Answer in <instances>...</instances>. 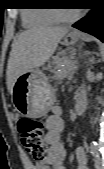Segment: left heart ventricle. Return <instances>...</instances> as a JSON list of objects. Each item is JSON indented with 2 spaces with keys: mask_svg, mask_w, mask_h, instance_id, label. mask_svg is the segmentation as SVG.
<instances>
[{
  "mask_svg": "<svg viewBox=\"0 0 104 169\" xmlns=\"http://www.w3.org/2000/svg\"><path fill=\"white\" fill-rule=\"evenodd\" d=\"M76 10H73V9H61L60 12L62 15H65V16H70V15H73L75 13Z\"/></svg>",
  "mask_w": 104,
  "mask_h": 169,
  "instance_id": "b2bd125f",
  "label": "left heart ventricle"
}]
</instances>
